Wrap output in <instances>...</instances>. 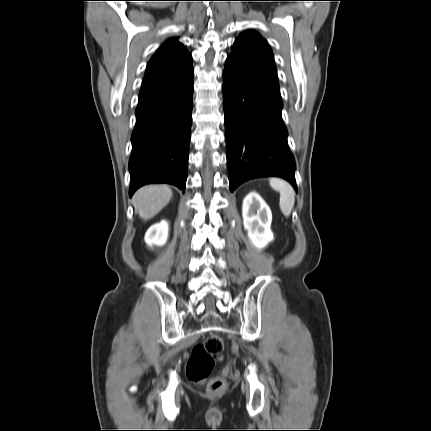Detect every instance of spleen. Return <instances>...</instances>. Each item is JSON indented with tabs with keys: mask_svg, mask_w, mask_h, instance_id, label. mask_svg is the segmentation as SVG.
<instances>
[{
	"mask_svg": "<svg viewBox=\"0 0 431 431\" xmlns=\"http://www.w3.org/2000/svg\"><path fill=\"white\" fill-rule=\"evenodd\" d=\"M270 186L280 193V209L284 216L288 217L295 203V192L292 186L279 178L269 179Z\"/></svg>",
	"mask_w": 431,
	"mask_h": 431,
	"instance_id": "3e777b00",
	"label": "spleen"
}]
</instances>
